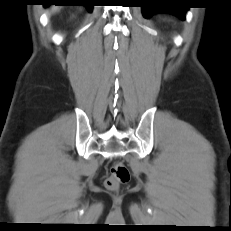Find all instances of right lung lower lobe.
<instances>
[{
	"instance_id": "98d812e1",
	"label": "right lung lower lobe",
	"mask_w": 231,
	"mask_h": 231,
	"mask_svg": "<svg viewBox=\"0 0 231 231\" xmlns=\"http://www.w3.org/2000/svg\"><path fill=\"white\" fill-rule=\"evenodd\" d=\"M44 6L49 5H82L87 8L89 12L92 11V6L89 4L88 0H45Z\"/></svg>"
}]
</instances>
